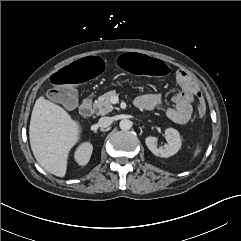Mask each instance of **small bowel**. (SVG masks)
<instances>
[{
    "mask_svg": "<svg viewBox=\"0 0 241 241\" xmlns=\"http://www.w3.org/2000/svg\"><path fill=\"white\" fill-rule=\"evenodd\" d=\"M176 80L181 86V91L173 96L174 107L166 108L167 116L177 124H186L193 112L192 102L195 95H199V87L195 78L186 70L176 71ZM163 97L159 93H148L139 96L135 105L140 109L152 110L162 106Z\"/></svg>",
    "mask_w": 241,
    "mask_h": 241,
    "instance_id": "1",
    "label": "small bowel"
}]
</instances>
